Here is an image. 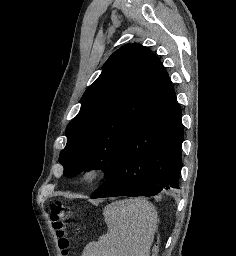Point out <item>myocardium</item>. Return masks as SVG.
I'll return each mask as SVG.
<instances>
[{"instance_id": "obj_1", "label": "myocardium", "mask_w": 236, "mask_h": 256, "mask_svg": "<svg viewBox=\"0 0 236 256\" xmlns=\"http://www.w3.org/2000/svg\"><path fill=\"white\" fill-rule=\"evenodd\" d=\"M107 173L106 167L99 162H91L85 165L81 171V179L86 184H96Z\"/></svg>"}]
</instances>
